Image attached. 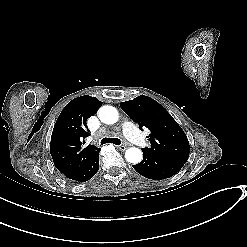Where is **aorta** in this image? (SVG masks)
Listing matches in <instances>:
<instances>
[{
	"instance_id": "762f6f07",
	"label": "aorta",
	"mask_w": 247,
	"mask_h": 247,
	"mask_svg": "<svg viewBox=\"0 0 247 247\" xmlns=\"http://www.w3.org/2000/svg\"><path fill=\"white\" fill-rule=\"evenodd\" d=\"M98 116L103 123L114 124L118 120V111L113 106L105 105L99 109ZM142 158L143 154L139 148L132 147L125 152V159L132 164L140 163Z\"/></svg>"
}]
</instances>
